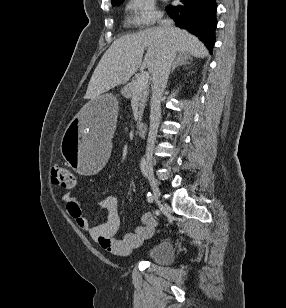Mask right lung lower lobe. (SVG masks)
Segmentation results:
<instances>
[{
    "label": "right lung lower lobe",
    "mask_w": 286,
    "mask_h": 308,
    "mask_svg": "<svg viewBox=\"0 0 286 308\" xmlns=\"http://www.w3.org/2000/svg\"><path fill=\"white\" fill-rule=\"evenodd\" d=\"M180 1L183 3L181 6H167V13L178 27L195 34L212 51L217 25L215 0Z\"/></svg>",
    "instance_id": "98d812e1"
}]
</instances>
